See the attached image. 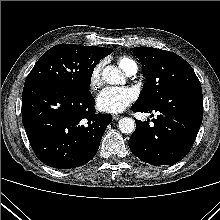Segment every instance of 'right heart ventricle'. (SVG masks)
<instances>
[{
	"label": "right heart ventricle",
	"instance_id": "e07e8e85",
	"mask_svg": "<svg viewBox=\"0 0 220 220\" xmlns=\"http://www.w3.org/2000/svg\"><path fill=\"white\" fill-rule=\"evenodd\" d=\"M119 66L127 73L133 66L136 65L135 61L128 57L122 56L118 59Z\"/></svg>",
	"mask_w": 220,
	"mask_h": 220
}]
</instances>
